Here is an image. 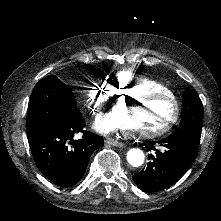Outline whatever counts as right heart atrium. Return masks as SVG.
I'll return each mask as SVG.
<instances>
[{"label": "right heart atrium", "instance_id": "right-heart-atrium-1", "mask_svg": "<svg viewBox=\"0 0 221 221\" xmlns=\"http://www.w3.org/2000/svg\"><path fill=\"white\" fill-rule=\"evenodd\" d=\"M118 82L114 75H107L98 79L96 87L89 96L88 107L95 112H105L118 100Z\"/></svg>", "mask_w": 221, "mask_h": 221}]
</instances>
